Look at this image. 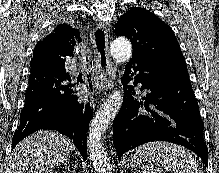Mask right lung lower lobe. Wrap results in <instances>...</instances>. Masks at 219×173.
Masks as SVG:
<instances>
[{
	"instance_id": "obj_1",
	"label": "right lung lower lobe",
	"mask_w": 219,
	"mask_h": 173,
	"mask_svg": "<svg viewBox=\"0 0 219 173\" xmlns=\"http://www.w3.org/2000/svg\"><path fill=\"white\" fill-rule=\"evenodd\" d=\"M64 65L41 64L31 69L20 127L12 139L14 148L27 135L44 129L56 130L73 140L84 160L92 103L75 95Z\"/></svg>"
}]
</instances>
